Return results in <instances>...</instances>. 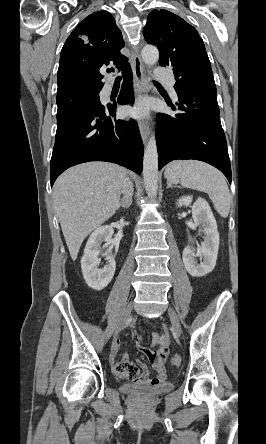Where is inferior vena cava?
<instances>
[{"instance_id":"602c4592","label":"inferior vena cava","mask_w":266,"mask_h":444,"mask_svg":"<svg viewBox=\"0 0 266 444\" xmlns=\"http://www.w3.org/2000/svg\"><path fill=\"white\" fill-rule=\"evenodd\" d=\"M122 193H123V200L126 202L128 206H130L132 203V196H133V184L128 178H126L123 183Z\"/></svg>"}]
</instances>
